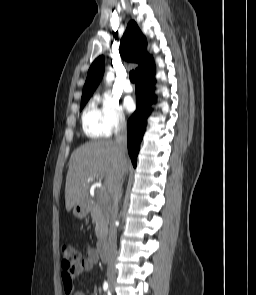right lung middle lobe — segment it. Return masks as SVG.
<instances>
[{
	"label": "right lung middle lobe",
	"mask_w": 256,
	"mask_h": 295,
	"mask_svg": "<svg viewBox=\"0 0 256 295\" xmlns=\"http://www.w3.org/2000/svg\"><path fill=\"white\" fill-rule=\"evenodd\" d=\"M89 98H90V96L82 97L80 110H82V108L85 106V104L87 103V101L89 100Z\"/></svg>",
	"instance_id": "right-lung-middle-lobe-1"
}]
</instances>
